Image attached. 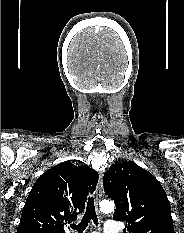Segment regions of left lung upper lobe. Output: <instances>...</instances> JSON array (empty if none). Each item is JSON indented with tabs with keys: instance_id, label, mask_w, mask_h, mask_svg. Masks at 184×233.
<instances>
[{
	"instance_id": "obj_1",
	"label": "left lung upper lobe",
	"mask_w": 184,
	"mask_h": 233,
	"mask_svg": "<svg viewBox=\"0 0 184 233\" xmlns=\"http://www.w3.org/2000/svg\"><path fill=\"white\" fill-rule=\"evenodd\" d=\"M114 200L113 219L126 221L123 233H174L170 203L160 182L133 161L116 162L103 178Z\"/></svg>"
}]
</instances>
